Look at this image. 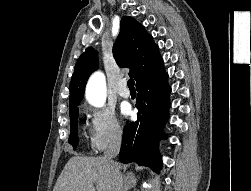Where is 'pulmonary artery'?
Masks as SVG:
<instances>
[{"label": "pulmonary artery", "instance_id": "1", "mask_svg": "<svg viewBox=\"0 0 251 191\" xmlns=\"http://www.w3.org/2000/svg\"><path fill=\"white\" fill-rule=\"evenodd\" d=\"M117 91L120 96L124 98H129L130 97V90L127 87V81L125 79L120 80L118 84Z\"/></svg>", "mask_w": 251, "mask_h": 191}]
</instances>
